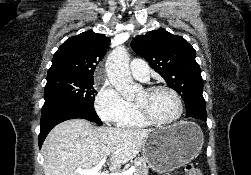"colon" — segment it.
I'll return each mask as SVG.
<instances>
[{"label":"colon","instance_id":"1","mask_svg":"<svg viewBox=\"0 0 251 175\" xmlns=\"http://www.w3.org/2000/svg\"><path fill=\"white\" fill-rule=\"evenodd\" d=\"M184 175H203L202 171L192 164H187L183 168Z\"/></svg>","mask_w":251,"mask_h":175}]
</instances>
